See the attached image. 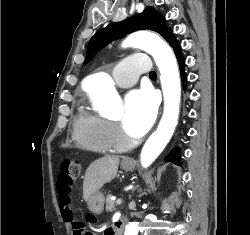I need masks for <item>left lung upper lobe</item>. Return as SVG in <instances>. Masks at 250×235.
Segmentation results:
<instances>
[{
  "label": "left lung upper lobe",
  "instance_id": "left-lung-upper-lobe-1",
  "mask_svg": "<svg viewBox=\"0 0 250 235\" xmlns=\"http://www.w3.org/2000/svg\"><path fill=\"white\" fill-rule=\"evenodd\" d=\"M153 30L161 34L167 42L174 36L165 25V18L153 7H147L141 14L118 23H112L99 30L89 41L85 62L89 61L102 47L126 34L137 30Z\"/></svg>",
  "mask_w": 250,
  "mask_h": 235
}]
</instances>
